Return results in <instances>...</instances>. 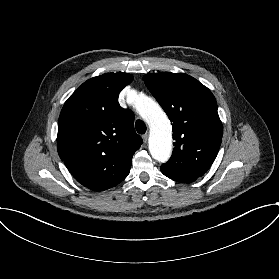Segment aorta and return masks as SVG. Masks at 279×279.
Wrapping results in <instances>:
<instances>
[{"instance_id": "762f6f07", "label": "aorta", "mask_w": 279, "mask_h": 279, "mask_svg": "<svg viewBox=\"0 0 279 279\" xmlns=\"http://www.w3.org/2000/svg\"><path fill=\"white\" fill-rule=\"evenodd\" d=\"M137 111L150 127L149 150L152 157L166 162L172 150V127L162 108L149 97H137Z\"/></svg>"}]
</instances>
